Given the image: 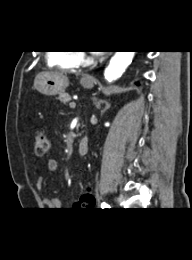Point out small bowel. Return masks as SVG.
Here are the masks:
<instances>
[{
  "label": "small bowel",
  "mask_w": 192,
  "mask_h": 260,
  "mask_svg": "<svg viewBox=\"0 0 192 260\" xmlns=\"http://www.w3.org/2000/svg\"><path fill=\"white\" fill-rule=\"evenodd\" d=\"M47 170L51 173H54L58 170V162L54 159L51 158L47 161ZM44 184V177L39 176L37 180V188L41 189ZM42 202L44 206L48 209L51 210H58L62 207V202L55 197L47 198L43 197ZM94 206V197L92 195L84 196L82 195L77 203V207L80 208H91Z\"/></svg>",
  "instance_id": "c3829d8e"
}]
</instances>
